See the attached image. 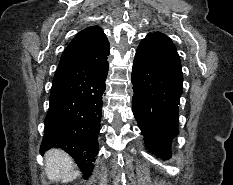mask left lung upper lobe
<instances>
[{
    "label": "left lung upper lobe",
    "instance_id": "left-lung-upper-lobe-1",
    "mask_svg": "<svg viewBox=\"0 0 233 185\" xmlns=\"http://www.w3.org/2000/svg\"><path fill=\"white\" fill-rule=\"evenodd\" d=\"M147 37L155 38V39L161 41L162 43L170 46L171 48L176 49L175 45L172 43L171 39L169 37H167L166 35H164L163 33H160V32L150 33L147 35Z\"/></svg>",
    "mask_w": 233,
    "mask_h": 185
}]
</instances>
